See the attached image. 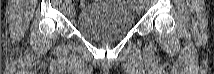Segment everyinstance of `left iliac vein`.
<instances>
[{"mask_svg": "<svg viewBox=\"0 0 214 74\" xmlns=\"http://www.w3.org/2000/svg\"><path fill=\"white\" fill-rule=\"evenodd\" d=\"M135 10H136V12H137L138 14H140V13L142 12V6H141L140 4H137V5L135 6Z\"/></svg>", "mask_w": 214, "mask_h": 74, "instance_id": "1", "label": "left iliac vein"}]
</instances>
